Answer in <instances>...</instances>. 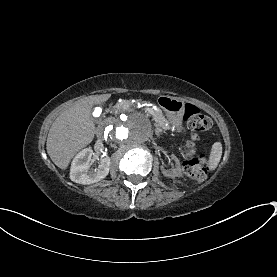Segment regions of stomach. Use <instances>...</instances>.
I'll list each match as a JSON object with an SVG mask.
<instances>
[{"mask_svg": "<svg viewBox=\"0 0 277 277\" xmlns=\"http://www.w3.org/2000/svg\"><path fill=\"white\" fill-rule=\"evenodd\" d=\"M159 106L165 111L169 122L172 125H180L185 112V103L178 98L171 96H160Z\"/></svg>", "mask_w": 277, "mask_h": 277, "instance_id": "obj_1", "label": "stomach"}]
</instances>
